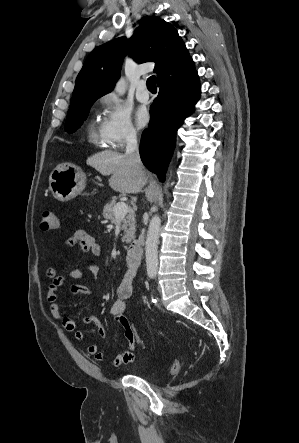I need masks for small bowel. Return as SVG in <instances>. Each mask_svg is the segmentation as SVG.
<instances>
[{"mask_svg":"<svg viewBox=\"0 0 299 443\" xmlns=\"http://www.w3.org/2000/svg\"><path fill=\"white\" fill-rule=\"evenodd\" d=\"M64 244L69 247H78L84 253H91L94 256H99L100 254V246L96 242L95 238L83 229L75 230L74 233L64 241ZM57 253L59 254L58 250ZM87 270L95 277L98 276L99 269L95 263L89 262L87 265ZM137 271L138 267H132L128 265V268L124 273L117 288V299L114 301L110 309L111 317L122 327L124 336L128 341L127 350L123 354L118 355L111 360V364L115 367L129 364L133 362L136 357V345L127 336L124 319L127 317L126 302L132 296L133 284L137 275ZM47 276L51 279V283L47 291V301L49 303V308L52 316L61 322L64 329L73 332L74 338L78 342L85 343V332L81 329H78L74 320L69 315L61 311L57 299L58 291L63 286L67 278L73 280H83L86 277V272L79 268H73L69 270L66 275H61L58 271L57 266L52 265L47 269ZM70 293L73 295L82 294L88 297L93 296V291L89 287L81 284H73L70 287ZM83 322L85 324H94L97 327V332L100 337H107V331L97 317H85ZM88 353L99 362L106 361V356L95 344H91L88 346Z\"/></svg>","mask_w":299,"mask_h":443,"instance_id":"obj_1","label":"small bowel"}]
</instances>
